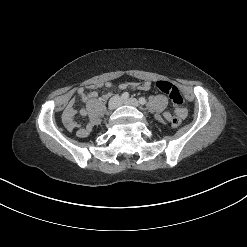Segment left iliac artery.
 Wrapping results in <instances>:
<instances>
[{
	"label": "left iliac artery",
	"instance_id": "1",
	"mask_svg": "<svg viewBox=\"0 0 247 247\" xmlns=\"http://www.w3.org/2000/svg\"><path fill=\"white\" fill-rule=\"evenodd\" d=\"M139 103L142 104V105L146 104V99L144 97H140L139 98Z\"/></svg>",
	"mask_w": 247,
	"mask_h": 247
}]
</instances>
